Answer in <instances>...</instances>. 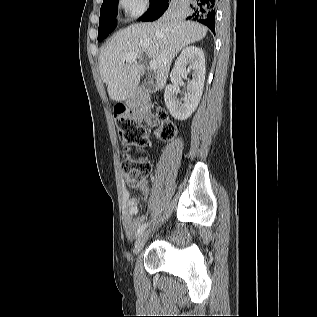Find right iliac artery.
Returning <instances> with one entry per match:
<instances>
[{
	"label": "right iliac artery",
	"mask_w": 317,
	"mask_h": 317,
	"mask_svg": "<svg viewBox=\"0 0 317 317\" xmlns=\"http://www.w3.org/2000/svg\"><path fill=\"white\" fill-rule=\"evenodd\" d=\"M148 226V223H145V224H142L139 228H138V230H137V236L138 235H140L144 230H145V228Z\"/></svg>",
	"instance_id": "82829eb1"
}]
</instances>
